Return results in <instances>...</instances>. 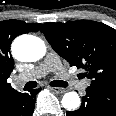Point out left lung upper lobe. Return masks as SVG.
Returning a JSON list of instances; mask_svg holds the SVG:
<instances>
[{
    "mask_svg": "<svg viewBox=\"0 0 116 116\" xmlns=\"http://www.w3.org/2000/svg\"><path fill=\"white\" fill-rule=\"evenodd\" d=\"M41 32L70 66L85 69L89 87L116 89V30L90 20L47 22Z\"/></svg>",
    "mask_w": 116,
    "mask_h": 116,
    "instance_id": "obj_1",
    "label": "left lung upper lobe"
}]
</instances>
